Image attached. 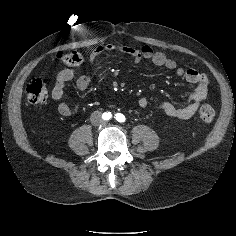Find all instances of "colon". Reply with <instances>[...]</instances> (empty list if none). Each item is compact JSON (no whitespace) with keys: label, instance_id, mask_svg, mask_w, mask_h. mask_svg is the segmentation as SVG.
<instances>
[{"label":"colon","instance_id":"obj_1","mask_svg":"<svg viewBox=\"0 0 236 236\" xmlns=\"http://www.w3.org/2000/svg\"><path fill=\"white\" fill-rule=\"evenodd\" d=\"M57 58L68 67H79L84 62L78 52L59 53ZM26 95L31 104L44 103L48 96L45 82L41 78L32 79L26 86ZM199 116L205 123H210L215 117V111L210 105L204 104L199 109Z\"/></svg>","mask_w":236,"mask_h":236}]
</instances>
